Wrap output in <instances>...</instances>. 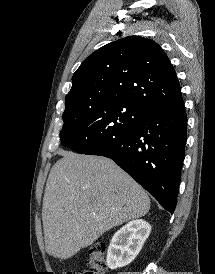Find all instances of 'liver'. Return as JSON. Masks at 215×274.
<instances>
[{
	"label": "liver",
	"mask_w": 215,
	"mask_h": 274,
	"mask_svg": "<svg viewBox=\"0 0 215 274\" xmlns=\"http://www.w3.org/2000/svg\"><path fill=\"white\" fill-rule=\"evenodd\" d=\"M42 206L45 249L68 259L103 233L146 215L144 189L112 160L60 151Z\"/></svg>",
	"instance_id": "6515ba94"
}]
</instances>
